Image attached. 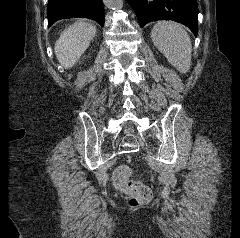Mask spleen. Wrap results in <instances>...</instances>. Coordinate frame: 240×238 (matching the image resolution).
<instances>
[{"label": "spleen", "mask_w": 240, "mask_h": 238, "mask_svg": "<svg viewBox=\"0 0 240 238\" xmlns=\"http://www.w3.org/2000/svg\"><path fill=\"white\" fill-rule=\"evenodd\" d=\"M151 38L171 65L181 73L189 71L192 44L188 33L181 25L171 21H159L151 31Z\"/></svg>", "instance_id": "1"}]
</instances>
